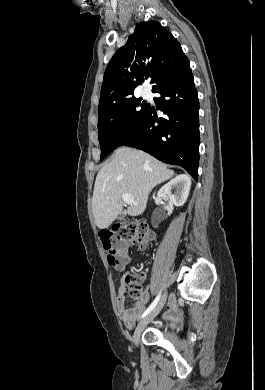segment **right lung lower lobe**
<instances>
[{"label": "right lung lower lobe", "mask_w": 265, "mask_h": 390, "mask_svg": "<svg viewBox=\"0 0 265 390\" xmlns=\"http://www.w3.org/2000/svg\"><path fill=\"white\" fill-rule=\"evenodd\" d=\"M152 91L161 95L155 101L166 117L157 118L150 106L145 118L121 145L136 147L164 163L179 165L197 180L199 102L189 61Z\"/></svg>", "instance_id": "98d812e1"}]
</instances>
